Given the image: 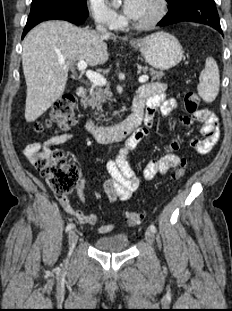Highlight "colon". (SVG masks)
<instances>
[{
  "mask_svg": "<svg viewBox=\"0 0 232 311\" xmlns=\"http://www.w3.org/2000/svg\"><path fill=\"white\" fill-rule=\"evenodd\" d=\"M199 96L194 92L185 95L184 105L188 113L194 114L199 108ZM75 99L66 94L58 99L51 109L49 118L43 122H36L34 130L42 133L47 129L57 127L65 129L75 122ZM185 160H182L173 173L174 179H180L185 174ZM36 169L44 176L51 190L59 196H66L74 191L79 181V171L66 160L65 153L56 149L48 155L38 156L35 161ZM143 215L140 212L127 213L124 222L128 227L141 223Z\"/></svg>",
  "mask_w": 232,
  "mask_h": 311,
  "instance_id": "colon-1",
  "label": "colon"
}]
</instances>
